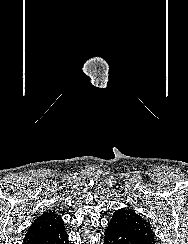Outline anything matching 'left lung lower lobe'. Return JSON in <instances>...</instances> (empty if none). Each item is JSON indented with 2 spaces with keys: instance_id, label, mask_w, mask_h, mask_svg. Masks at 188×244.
Segmentation results:
<instances>
[{
  "instance_id": "0a47b994",
  "label": "left lung lower lobe",
  "mask_w": 188,
  "mask_h": 244,
  "mask_svg": "<svg viewBox=\"0 0 188 244\" xmlns=\"http://www.w3.org/2000/svg\"><path fill=\"white\" fill-rule=\"evenodd\" d=\"M104 244H154L137 232L119 212H115L105 232Z\"/></svg>"
}]
</instances>
